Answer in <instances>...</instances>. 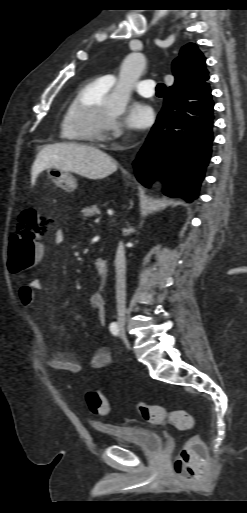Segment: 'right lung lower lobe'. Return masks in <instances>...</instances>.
Instances as JSON below:
<instances>
[{"label":"right lung lower lobe","mask_w":247,"mask_h":513,"mask_svg":"<svg viewBox=\"0 0 247 513\" xmlns=\"http://www.w3.org/2000/svg\"><path fill=\"white\" fill-rule=\"evenodd\" d=\"M213 107L208 83L192 92L166 91L164 106L134 163L140 183L149 187L161 178L166 195L188 202L197 198L211 155Z\"/></svg>","instance_id":"obj_1"}]
</instances>
